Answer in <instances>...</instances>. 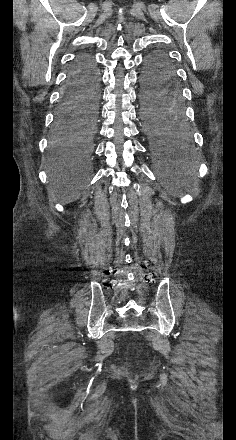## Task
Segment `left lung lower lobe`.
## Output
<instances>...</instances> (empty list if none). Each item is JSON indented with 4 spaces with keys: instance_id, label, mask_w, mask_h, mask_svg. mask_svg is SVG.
Instances as JSON below:
<instances>
[{
    "instance_id": "1",
    "label": "left lung lower lobe",
    "mask_w": 236,
    "mask_h": 440,
    "mask_svg": "<svg viewBox=\"0 0 236 440\" xmlns=\"http://www.w3.org/2000/svg\"><path fill=\"white\" fill-rule=\"evenodd\" d=\"M141 104L143 131L155 145L166 147L187 140L180 83L164 53L145 63Z\"/></svg>"
}]
</instances>
